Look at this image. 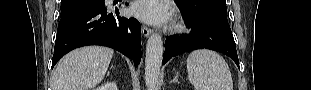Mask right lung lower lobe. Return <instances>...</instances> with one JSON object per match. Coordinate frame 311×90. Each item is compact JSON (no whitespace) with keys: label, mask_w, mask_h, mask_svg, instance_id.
<instances>
[{"label":"right lung lower lobe","mask_w":311,"mask_h":90,"mask_svg":"<svg viewBox=\"0 0 311 90\" xmlns=\"http://www.w3.org/2000/svg\"><path fill=\"white\" fill-rule=\"evenodd\" d=\"M128 5V4H127ZM141 26L135 18L119 16L118 8L90 7L72 12L58 25L52 68L69 51L86 45H102L141 60Z\"/></svg>","instance_id":"right-lung-lower-lobe-1"}]
</instances>
